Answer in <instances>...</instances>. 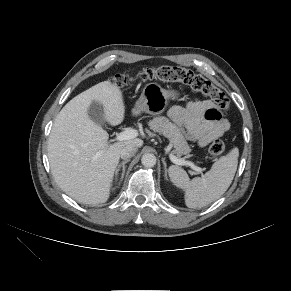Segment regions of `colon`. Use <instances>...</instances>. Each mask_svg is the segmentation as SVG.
<instances>
[{"instance_id": "colon-1", "label": "colon", "mask_w": 291, "mask_h": 291, "mask_svg": "<svg viewBox=\"0 0 291 291\" xmlns=\"http://www.w3.org/2000/svg\"><path fill=\"white\" fill-rule=\"evenodd\" d=\"M142 81L159 80L163 82H179L190 86L193 90L209 97L221 110L229 109V100L225 93L213 85L209 80L192 71L174 66H160L146 68L140 73ZM112 83L118 87H123L129 83V79L124 75H115ZM225 150V144L221 140H215L209 146V154L219 156Z\"/></svg>"}]
</instances>
